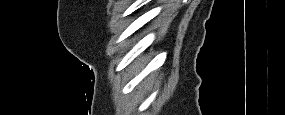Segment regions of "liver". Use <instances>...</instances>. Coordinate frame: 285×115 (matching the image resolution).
Listing matches in <instances>:
<instances>
[{"label": "liver", "mask_w": 285, "mask_h": 115, "mask_svg": "<svg viewBox=\"0 0 285 115\" xmlns=\"http://www.w3.org/2000/svg\"><path fill=\"white\" fill-rule=\"evenodd\" d=\"M144 60V57L141 58V60L139 61V65L141 66L142 62ZM154 80V77L151 76L150 78H148V80L146 81L147 86H149Z\"/></svg>", "instance_id": "6515ba94"}]
</instances>
